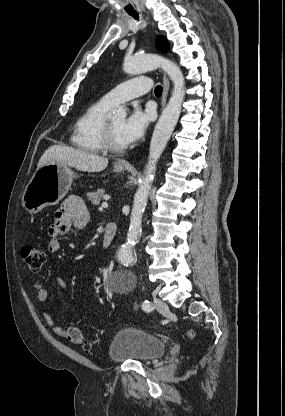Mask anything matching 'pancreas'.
I'll list each match as a JSON object with an SVG mask.
<instances>
[{"label": "pancreas", "instance_id": "1", "mask_svg": "<svg viewBox=\"0 0 285 416\" xmlns=\"http://www.w3.org/2000/svg\"><path fill=\"white\" fill-rule=\"evenodd\" d=\"M86 196L88 200H91L93 206H98V204H100L101 198L105 196V190H96V192H88Z\"/></svg>", "mask_w": 285, "mask_h": 416}]
</instances>
